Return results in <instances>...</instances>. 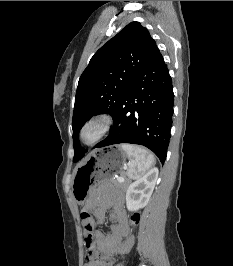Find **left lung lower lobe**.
<instances>
[{"label":"left lung lower lobe","mask_w":233,"mask_h":266,"mask_svg":"<svg viewBox=\"0 0 233 266\" xmlns=\"http://www.w3.org/2000/svg\"><path fill=\"white\" fill-rule=\"evenodd\" d=\"M174 106L171 76L158 48L154 50L114 113V126L96 145H143L165 162Z\"/></svg>","instance_id":"1"}]
</instances>
